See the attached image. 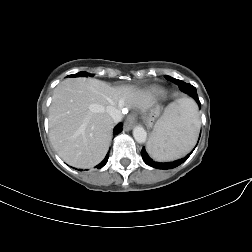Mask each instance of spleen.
<instances>
[{
  "instance_id": "3e777b00",
  "label": "spleen",
  "mask_w": 252,
  "mask_h": 252,
  "mask_svg": "<svg viewBox=\"0 0 252 252\" xmlns=\"http://www.w3.org/2000/svg\"><path fill=\"white\" fill-rule=\"evenodd\" d=\"M199 123L191 99L181 98L170 104L147 143L150 156L157 161H172L186 155L196 143Z\"/></svg>"
}]
</instances>
